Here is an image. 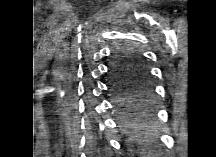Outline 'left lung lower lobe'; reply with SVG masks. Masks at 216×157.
<instances>
[{
  "mask_svg": "<svg viewBox=\"0 0 216 157\" xmlns=\"http://www.w3.org/2000/svg\"><path fill=\"white\" fill-rule=\"evenodd\" d=\"M111 70V67H110ZM112 73V72H111ZM110 89L116 97V106L123 118V128L126 132H133L139 123V118L134 114L132 85H121L113 80L110 82Z\"/></svg>",
  "mask_w": 216,
  "mask_h": 157,
  "instance_id": "0a47b994",
  "label": "left lung lower lobe"
}]
</instances>
